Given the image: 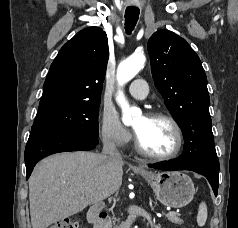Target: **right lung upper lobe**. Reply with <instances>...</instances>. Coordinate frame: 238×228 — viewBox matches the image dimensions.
<instances>
[{
  "label": "right lung upper lobe",
  "instance_id": "obj_1",
  "mask_svg": "<svg viewBox=\"0 0 238 228\" xmlns=\"http://www.w3.org/2000/svg\"><path fill=\"white\" fill-rule=\"evenodd\" d=\"M108 57V39L102 29L90 27L78 32L50 66L37 116L100 101Z\"/></svg>",
  "mask_w": 238,
  "mask_h": 228
}]
</instances>
